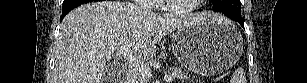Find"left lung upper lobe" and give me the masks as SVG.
<instances>
[{
  "label": "left lung upper lobe",
  "mask_w": 307,
  "mask_h": 83,
  "mask_svg": "<svg viewBox=\"0 0 307 83\" xmlns=\"http://www.w3.org/2000/svg\"><path fill=\"white\" fill-rule=\"evenodd\" d=\"M212 4L217 11L241 17L240 0H212Z\"/></svg>",
  "instance_id": "5c2ea615"
}]
</instances>
